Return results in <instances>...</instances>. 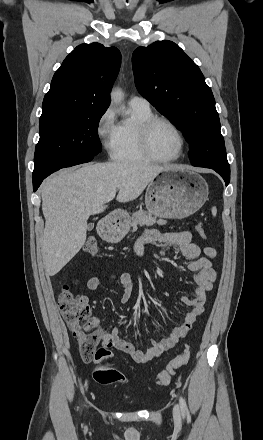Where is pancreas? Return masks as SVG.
<instances>
[{
	"instance_id": "pancreas-1",
	"label": "pancreas",
	"mask_w": 263,
	"mask_h": 440,
	"mask_svg": "<svg viewBox=\"0 0 263 440\" xmlns=\"http://www.w3.org/2000/svg\"><path fill=\"white\" fill-rule=\"evenodd\" d=\"M158 223L160 225H163L166 223L164 220L157 221L155 217H152L150 213L145 212L144 210L140 209L139 211L132 214V223L131 226L133 227V230L137 228V225L140 226H151L154 223Z\"/></svg>"
}]
</instances>
